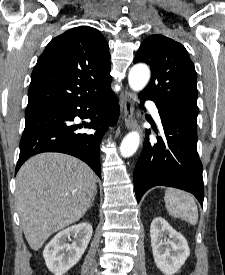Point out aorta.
I'll list each match as a JSON object with an SVG mask.
<instances>
[{
    "instance_id": "aorta-1",
    "label": "aorta",
    "mask_w": 225,
    "mask_h": 275,
    "mask_svg": "<svg viewBox=\"0 0 225 275\" xmlns=\"http://www.w3.org/2000/svg\"><path fill=\"white\" fill-rule=\"evenodd\" d=\"M150 70L144 64H137L131 68L128 75L129 86L134 91H141L148 83ZM140 143L139 133L132 131L128 133L121 145L120 154L124 158L131 157L138 149Z\"/></svg>"
}]
</instances>
